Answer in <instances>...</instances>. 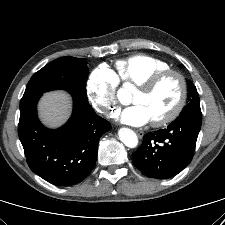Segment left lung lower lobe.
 Returning <instances> with one entry per match:
<instances>
[{
  "label": "left lung lower lobe",
  "instance_id": "1",
  "mask_svg": "<svg viewBox=\"0 0 225 225\" xmlns=\"http://www.w3.org/2000/svg\"><path fill=\"white\" fill-rule=\"evenodd\" d=\"M202 114L178 117L166 129L144 135L132 154L134 165L146 176L167 179L181 172L192 160L201 128Z\"/></svg>",
  "mask_w": 225,
  "mask_h": 225
}]
</instances>
